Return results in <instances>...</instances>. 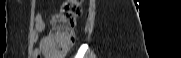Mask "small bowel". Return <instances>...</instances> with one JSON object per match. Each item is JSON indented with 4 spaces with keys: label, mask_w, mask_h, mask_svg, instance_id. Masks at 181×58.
Returning a JSON list of instances; mask_svg holds the SVG:
<instances>
[{
    "label": "small bowel",
    "mask_w": 181,
    "mask_h": 58,
    "mask_svg": "<svg viewBox=\"0 0 181 58\" xmlns=\"http://www.w3.org/2000/svg\"><path fill=\"white\" fill-rule=\"evenodd\" d=\"M35 40L39 42V48L36 50L37 56L40 55L41 52L47 51V38L43 36V32L45 30V22L41 12H36L35 14Z\"/></svg>",
    "instance_id": "small-bowel-1"
}]
</instances>
